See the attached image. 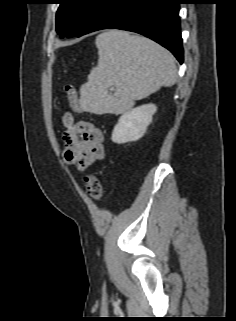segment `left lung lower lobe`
Returning a JSON list of instances; mask_svg holds the SVG:
<instances>
[{
    "instance_id": "0a47b994",
    "label": "left lung lower lobe",
    "mask_w": 236,
    "mask_h": 321,
    "mask_svg": "<svg viewBox=\"0 0 236 321\" xmlns=\"http://www.w3.org/2000/svg\"><path fill=\"white\" fill-rule=\"evenodd\" d=\"M179 4L182 0H104L77 36L114 28L136 32L170 50L182 64Z\"/></svg>"
}]
</instances>
